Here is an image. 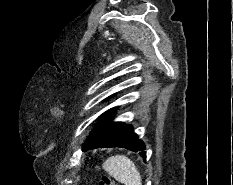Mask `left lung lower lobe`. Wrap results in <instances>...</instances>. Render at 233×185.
Instances as JSON below:
<instances>
[{"instance_id":"0a47b994","label":"left lung lower lobe","mask_w":233,"mask_h":185,"mask_svg":"<svg viewBox=\"0 0 233 185\" xmlns=\"http://www.w3.org/2000/svg\"><path fill=\"white\" fill-rule=\"evenodd\" d=\"M113 112L114 108L102 115L98 121L100 126L85 141L83 151L98 147H121L139 152V155L145 159L144 143L138 139L131 125H124L122 122H111L109 117Z\"/></svg>"}]
</instances>
